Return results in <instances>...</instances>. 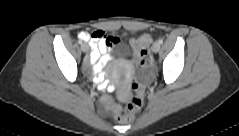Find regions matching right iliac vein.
Returning a JSON list of instances; mask_svg holds the SVG:
<instances>
[{
    "label": "right iliac vein",
    "mask_w": 239,
    "mask_h": 136,
    "mask_svg": "<svg viewBox=\"0 0 239 136\" xmlns=\"http://www.w3.org/2000/svg\"><path fill=\"white\" fill-rule=\"evenodd\" d=\"M81 49L83 52H88L89 51V45L87 43H83L81 45Z\"/></svg>",
    "instance_id": "63e3f726"
}]
</instances>
